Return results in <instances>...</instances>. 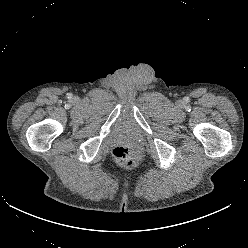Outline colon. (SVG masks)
<instances>
[{"label": "colon", "mask_w": 248, "mask_h": 248, "mask_svg": "<svg viewBox=\"0 0 248 248\" xmlns=\"http://www.w3.org/2000/svg\"><path fill=\"white\" fill-rule=\"evenodd\" d=\"M113 156L115 162L122 167H133L140 161V155L137 150L129 146H120L114 149Z\"/></svg>", "instance_id": "colon-1"}]
</instances>
